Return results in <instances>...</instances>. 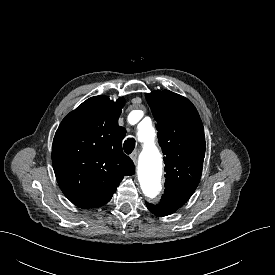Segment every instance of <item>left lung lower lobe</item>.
<instances>
[{
    "mask_svg": "<svg viewBox=\"0 0 275 275\" xmlns=\"http://www.w3.org/2000/svg\"><path fill=\"white\" fill-rule=\"evenodd\" d=\"M189 198L187 197H162L157 205L146 203L148 209L157 216H167L174 213L183 206Z\"/></svg>",
    "mask_w": 275,
    "mask_h": 275,
    "instance_id": "1",
    "label": "left lung lower lobe"
}]
</instances>
